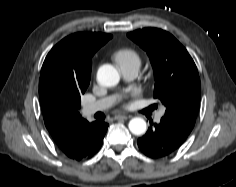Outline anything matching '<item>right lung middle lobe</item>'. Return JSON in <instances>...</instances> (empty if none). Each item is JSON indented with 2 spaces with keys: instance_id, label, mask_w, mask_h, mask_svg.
I'll return each instance as SVG.
<instances>
[{
  "instance_id": "right-lung-middle-lobe-1",
  "label": "right lung middle lobe",
  "mask_w": 236,
  "mask_h": 187,
  "mask_svg": "<svg viewBox=\"0 0 236 187\" xmlns=\"http://www.w3.org/2000/svg\"><path fill=\"white\" fill-rule=\"evenodd\" d=\"M88 85L77 87L73 84H68L60 80H54L50 86L51 94L54 99L62 104L69 106L72 109L78 110L80 105L81 94H83Z\"/></svg>"
}]
</instances>
